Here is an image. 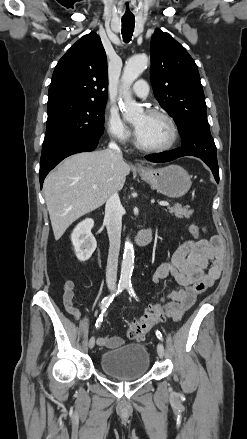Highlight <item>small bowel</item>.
Listing matches in <instances>:
<instances>
[{"mask_svg":"<svg viewBox=\"0 0 247 439\" xmlns=\"http://www.w3.org/2000/svg\"><path fill=\"white\" fill-rule=\"evenodd\" d=\"M224 244L219 236L209 239H188L175 249L169 262L162 263L153 275L157 284L162 279L172 277L181 289L170 292L161 301H167L166 316L178 321L207 289L220 277L223 269ZM74 283L66 281L63 285V301L67 312L77 321L81 320L80 311L73 305ZM117 336H103L98 344L104 348H116L123 344Z\"/></svg>","mask_w":247,"mask_h":439,"instance_id":"small-bowel-1","label":"small bowel"}]
</instances>
